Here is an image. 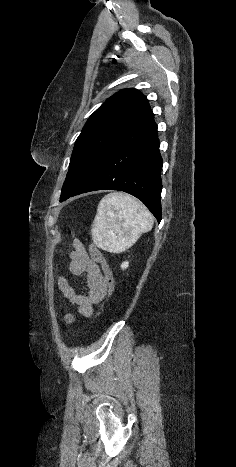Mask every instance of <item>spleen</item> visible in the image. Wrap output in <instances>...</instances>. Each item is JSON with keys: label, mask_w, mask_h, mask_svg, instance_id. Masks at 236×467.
I'll list each match as a JSON object with an SVG mask.
<instances>
[{"label": "spleen", "mask_w": 236, "mask_h": 467, "mask_svg": "<svg viewBox=\"0 0 236 467\" xmlns=\"http://www.w3.org/2000/svg\"><path fill=\"white\" fill-rule=\"evenodd\" d=\"M152 227L149 210L132 196L117 192L107 194L99 202L91 234L98 248L121 253Z\"/></svg>", "instance_id": "obj_1"}]
</instances>
